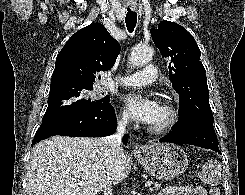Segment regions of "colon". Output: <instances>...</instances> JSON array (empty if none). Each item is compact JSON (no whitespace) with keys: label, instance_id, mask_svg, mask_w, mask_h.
Here are the masks:
<instances>
[{"label":"colon","instance_id":"5ec220e1","mask_svg":"<svg viewBox=\"0 0 245 195\" xmlns=\"http://www.w3.org/2000/svg\"><path fill=\"white\" fill-rule=\"evenodd\" d=\"M201 179L212 186L211 195H218V190L215 188L220 181V168L216 160H209L205 168L201 172Z\"/></svg>","mask_w":245,"mask_h":195}]
</instances>
